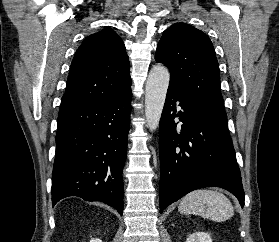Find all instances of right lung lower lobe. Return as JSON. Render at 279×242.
<instances>
[{
  "label": "right lung lower lobe",
  "instance_id": "right-lung-lower-lobe-1",
  "mask_svg": "<svg viewBox=\"0 0 279 242\" xmlns=\"http://www.w3.org/2000/svg\"><path fill=\"white\" fill-rule=\"evenodd\" d=\"M131 89L120 96L59 110L52 173L53 206L65 197L123 211Z\"/></svg>",
  "mask_w": 279,
  "mask_h": 242
}]
</instances>
